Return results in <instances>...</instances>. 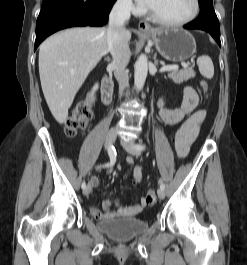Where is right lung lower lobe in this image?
<instances>
[{
  "instance_id": "right-lung-lower-lobe-1",
  "label": "right lung lower lobe",
  "mask_w": 247,
  "mask_h": 265,
  "mask_svg": "<svg viewBox=\"0 0 247 265\" xmlns=\"http://www.w3.org/2000/svg\"><path fill=\"white\" fill-rule=\"evenodd\" d=\"M116 0H43L34 50L52 33L74 26H102Z\"/></svg>"
}]
</instances>
